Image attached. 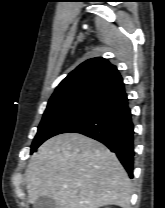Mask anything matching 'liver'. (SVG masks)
Returning a JSON list of instances; mask_svg holds the SVG:
<instances>
[{
  "instance_id": "obj_1",
  "label": "liver",
  "mask_w": 165,
  "mask_h": 208,
  "mask_svg": "<svg viewBox=\"0 0 165 208\" xmlns=\"http://www.w3.org/2000/svg\"><path fill=\"white\" fill-rule=\"evenodd\" d=\"M28 202L42 196L58 208H129L130 179L117 156L102 143L78 133L45 141L25 171Z\"/></svg>"
}]
</instances>
